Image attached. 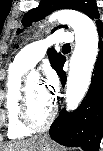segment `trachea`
Returning a JSON list of instances; mask_svg holds the SVG:
<instances>
[{"label":"trachea","instance_id":"obj_1","mask_svg":"<svg viewBox=\"0 0 103 151\" xmlns=\"http://www.w3.org/2000/svg\"><path fill=\"white\" fill-rule=\"evenodd\" d=\"M64 47L66 48V47H69V45L68 44H66V45H64Z\"/></svg>","mask_w":103,"mask_h":151}]
</instances>
